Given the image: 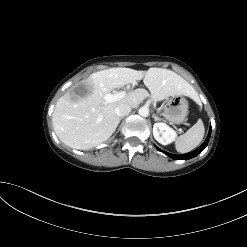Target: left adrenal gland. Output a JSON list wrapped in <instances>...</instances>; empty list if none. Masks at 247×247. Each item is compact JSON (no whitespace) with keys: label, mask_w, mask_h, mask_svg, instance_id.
I'll list each match as a JSON object with an SVG mask.
<instances>
[{"label":"left adrenal gland","mask_w":247,"mask_h":247,"mask_svg":"<svg viewBox=\"0 0 247 247\" xmlns=\"http://www.w3.org/2000/svg\"><path fill=\"white\" fill-rule=\"evenodd\" d=\"M152 117L154 118L155 121H160V120H161V118H159V117L156 116L155 114H153Z\"/></svg>","instance_id":"a2214340"}]
</instances>
